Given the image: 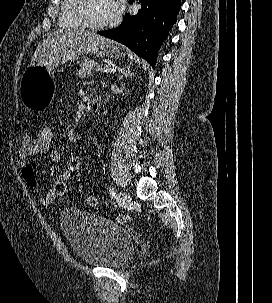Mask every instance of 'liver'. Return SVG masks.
Returning a JSON list of instances; mask_svg holds the SVG:
<instances>
[{
	"label": "liver",
	"instance_id": "1",
	"mask_svg": "<svg viewBox=\"0 0 272 303\" xmlns=\"http://www.w3.org/2000/svg\"><path fill=\"white\" fill-rule=\"evenodd\" d=\"M107 41L110 40L90 31L56 30L38 45L29 67L42 65L54 57H64Z\"/></svg>",
	"mask_w": 272,
	"mask_h": 303
}]
</instances>
